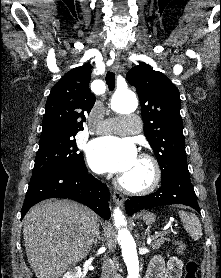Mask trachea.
<instances>
[{"mask_svg": "<svg viewBox=\"0 0 221 278\" xmlns=\"http://www.w3.org/2000/svg\"><path fill=\"white\" fill-rule=\"evenodd\" d=\"M106 84L108 86V89L110 91H113L114 88H115V74L114 72H111V71H108L107 74H106Z\"/></svg>", "mask_w": 221, "mask_h": 278, "instance_id": "1", "label": "trachea"}]
</instances>
